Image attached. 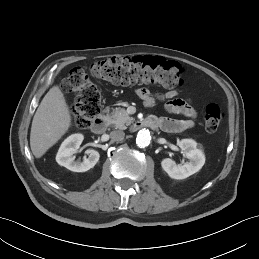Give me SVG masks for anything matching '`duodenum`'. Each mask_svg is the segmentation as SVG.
I'll return each mask as SVG.
<instances>
[{
  "label": "duodenum",
  "instance_id": "1",
  "mask_svg": "<svg viewBox=\"0 0 259 259\" xmlns=\"http://www.w3.org/2000/svg\"><path fill=\"white\" fill-rule=\"evenodd\" d=\"M106 125H107V120L105 119V117L98 116L93 120L91 124V129L96 134H102L106 131ZM134 126L136 129H141V128L157 129L159 128V122L157 119H154V118H146L135 122Z\"/></svg>",
  "mask_w": 259,
  "mask_h": 259
}]
</instances>
